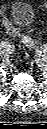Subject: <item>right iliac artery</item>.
I'll use <instances>...</instances> for the list:
<instances>
[{"instance_id":"obj_1","label":"right iliac artery","mask_w":47,"mask_h":129,"mask_svg":"<svg viewBox=\"0 0 47 129\" xmlns=\"http://www.w3.org/2000/svg\"><path fill=\"white\" fill-rule=\"evenodd\" d=\"M4 45L9 46L8 42L2 41L0 46H4Z\"/></svg>"}]
</instances>
